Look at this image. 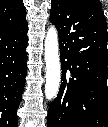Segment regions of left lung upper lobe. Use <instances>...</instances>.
I'll list each match as a JSON object with an SVG mask.
<instances>
[{"instance_id": "5c2ea615", "label": "left lung upper lobe", "mask_w": 108, "mask_h": 127, "mask_svg": "<svg viewBox=\"0 0 108 127\" xmlns=\"http://www.w3.org/2000/svg\"><path fill=\"white\" fill-rule=\"evenodd\" d=\"M94 1H96V2L101 6L99 0H94ZM76 68H77V67H76ZM71 73H72V77H73V76L75 77V75H73V72H71Z\"/></svg>"}]
</instances>
